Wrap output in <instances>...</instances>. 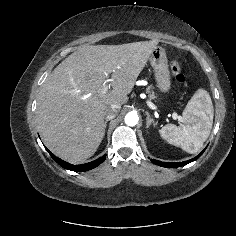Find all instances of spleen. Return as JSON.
Instances as JSON below:
<instances>
[{
    "mask_svg": "<svg viewBox=\"0 0 236 236\" xmlns=\"http://www.w3.org/2000/svg\"><path fill=\"white\" fill-rule=\"evenodd\" d=\"M180 126L167 124L159 131L169 144L181 147L187 153L198 152L210 135L214 109L209 93L204 89L197 92L187 103Z\"/></svg>",
    "mask_w": 236,
    "mask_h": 236,
    "instance_id": "1",
    "label": "spleen"
}]
</instances>
